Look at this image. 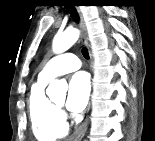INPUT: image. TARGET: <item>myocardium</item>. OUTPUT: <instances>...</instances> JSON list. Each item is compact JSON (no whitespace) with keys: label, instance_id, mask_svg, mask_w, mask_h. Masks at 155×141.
<instances>
[{"label":"myocardium","instance_id":"myocardium-1","mask_svg":"<svg viewBox=\"0 0 155 141\" xmlns=\"http://www.w3.org/2000/svg\"><path fill=\"white\" fill-rule=\"evenodd\" d=\"M55 106H56V107H58V108H60V107H61V106H60V105H58V104H56Z\"/></svg>","mask_w":155,"mask_h":141}]
</instances>
